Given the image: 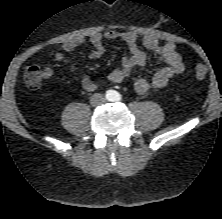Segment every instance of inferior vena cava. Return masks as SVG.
Instances as JSON below:
<instances>
[{
	"mask_svg": "<svg viewBox=\"0 0 222 219\" xmlns=\"http://www.w3.org/2000/svg\"><path fill=\"white\" fill-rule=\"evenodd\" d=\"M105 101L104 97L102 96V94H94L92 97H91V104L93 106H96V105H100L102 104L103 102Z\"/></svg>",
	"mask_w": 222,
	"mask_h": 219,
	"instance_id": "602c4592",
	"label": "inferior vena cava"
}]
</instances>
